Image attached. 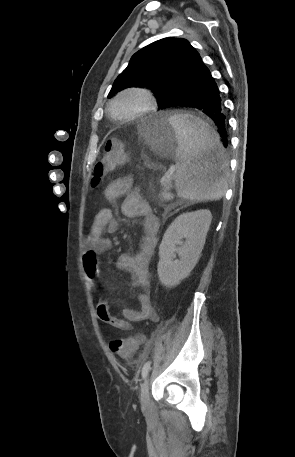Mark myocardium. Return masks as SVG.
Here are the masks:
<instances>
[{
    "label": "myocardium",
    "mask_w": 295,
    "mask_h": 457,
    "mask_svg": "<svg viewBox=\"0 0 295 457\" xmlns=\"http://www.w3.org/2000/svg\"><path fill=\"white\" fill-rule=\"evenodd\" d=\"M126 95H136L141 98L142 106L135 111L134 113L127 116H118L115 113L114 106L116 102L126 96ZM157 102L153 92L150 89L144 87H129L118 92L109 104V112L111 116L118 121H132L138 118H141L156 108Z\"/></svg>",
    "instance_id": "1"
}]
</instances>
